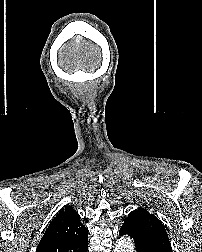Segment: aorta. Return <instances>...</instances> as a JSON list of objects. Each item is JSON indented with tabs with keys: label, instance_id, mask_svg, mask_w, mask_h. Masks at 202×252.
Returning a JSON list of instances; mask_svg holds the SVG:
<instances>
[{
	"label": "aorta",
	"instance_id": "obj_1",
	"mask_svg": "<svg viewBox=\"0 0 202 252\" xmlns=\"http://www.w3.org/2000/svg\"><path fill=\"white\" fill-rule=\"evenodd\" d=\"M114 252H134V243L129 237H122L117 241Z\"/></svg>",
	"mask_w": 202,
	"mask_h": 252
}]
</instances>
